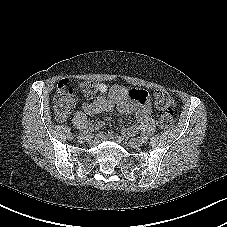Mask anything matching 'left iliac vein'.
<instances>
[{
    "label": "left iliac vein",
    "instance_id": "1",
    "mask_svg": "<svg viewBox=\"0 0 227 227\" xmlns=\"http://www.w3.org/2000/svg\"><path fill=\"white\" fill-rule=\"evenodd\" d=\"M128 145L134 148H139L143 145V141L140 138H132L128 140Z\"/></svg>",
    "mask_w": 227,
    "mask_h": 227
}]
</instances>
